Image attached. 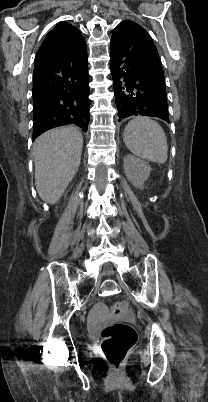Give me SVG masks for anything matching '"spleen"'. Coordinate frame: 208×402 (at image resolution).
I'll return each mask as SVG.
<instances>
[{
	"mask_svg": "<svg viewBox=\"0 0 208 402\" xmlns=\"http://www.w3.org/2000/svg\"><path fill=\"white\" fill-rule=\"evenodd\" d=\"M123 140L128 150L138 158L156 164L167 162L168 146L165 132L151 118L137 116L130 120L124 130Z\"/></svg>",
	"mask_w": 208,
	"mask_h": 402,
	"instance_id": "1",
	"label": "spleen"
}]
</instances>
